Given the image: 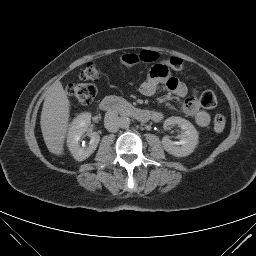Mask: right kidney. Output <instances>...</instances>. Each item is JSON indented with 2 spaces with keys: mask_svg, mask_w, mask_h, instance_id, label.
Instances as JSON below:
<instances>
[{
  "mask_svg": "<svg viewBox=\"0 0 256 256\" xmlns=\"http://www.w3.org/2000/svg\"><path fill=\"white\" fill-rule=\"evenodd\" d=\"M91 123L90 113H81L78 115L71 123L68 137L67 145L72 153V156L77 161H83L87 159L97 148L100 141V136L96 132H91L89 134L90 141L88 144H82L80 146V139L82 135L88 130Z\"/></svg>",
  "mask_w": 256,
  "mask_h": 256,
  "instance_id": "right-kidney-1",
  "label": "right kidney"
}]
</instances>
